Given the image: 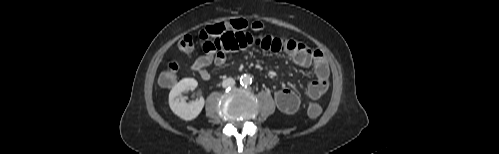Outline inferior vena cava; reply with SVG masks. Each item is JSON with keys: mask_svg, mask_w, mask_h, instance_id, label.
I'll use <instances>...</instances> for the list:
<instances>
[{"mask_svg": "<svg viewBox=\"0 0 499 154\" xmlns=\"http://www.w3.org/2000/svg\"><path fill=\"white\" fill-rule=\"evenodd\" d=\"M235 85V80L233 78H227L225 79L223 82H222V86L224 88L228 87V86H233Z\"/></svg>", "mask_w": 499, "mask_h": 154, "instance_id": "602c4592", "label": "inferior vena cava"}]
</instances>
